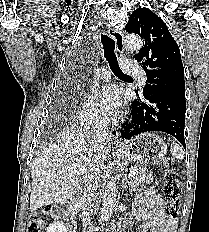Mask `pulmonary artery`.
<instances>
[{"label":"pulmonary artery","instance_id":"e3ab8cb5","mask_svg":"<svg viewBox=\"0 0 209 232\" xmlns=\"http://www.w3.org/2000/svg\"><path fill=\"white\" fill-rule=\"evenodd\" d=\"M121 68L126 74L137 77L143 85L146 84L147 78L144 71L135 63L128 60H124L122 61ZM99 78L107 82L111 79V75L109 72L102 71L99 74Z\"/></svg>","mask_w":209,"mask_h":232}]
</instances>
